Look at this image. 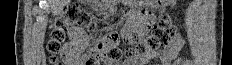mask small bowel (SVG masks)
Listing matches in <instances>:
<instances>
[{"mask_svg":"<svg viewBox=\"0 0 232 65\" xmlns=\"http://www.w3.org/2000/svg\"><path fill=\"white\" fill-rule=\"evenodd\" d=\"M119 17H136L135 23H125L124 29H116V26H107L104 37H115L122 40L125 45H136L141 37L149 34V28H153L154 12H119ZM113 24V21H110ZM127 31V32H124ZM70 41L65 44L64 57L69 65H79V54L86 48L88 41L81 28L69 30ZM185 44V39L177 34L162 50L137 56L122 63L107 62V65H144L150 61H159L160 65H190L189 61L178 58L179 52Z\"/></svg>","mask_w":232,"mask_h":65,"instance_id":"c3829d8e","label":"small bowel"}]
</instances>
